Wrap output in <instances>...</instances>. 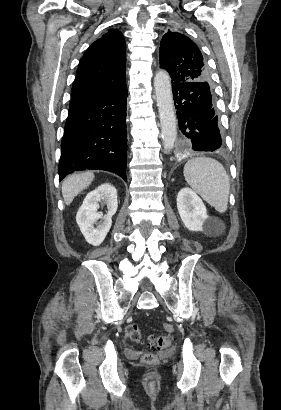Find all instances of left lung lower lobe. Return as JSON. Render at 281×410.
<instances>
[{
  "mask_svg": "<svg viewBox=\"0 0 281 410\" xmlns=\"http://www.w3.org/2000/svg\"><path fill=\"white\" fill-rule=\"evenodd\" d=\"M179 129L195 151H216L222 147L211 86L208 82H172Z\"/></svg>",
  "mask_w": 281,
  "mask_h": 410,
  "instance_id": "left-lung-lower-lobe-1",
  "label": "left lung lower lobe"
}]
</instances>
